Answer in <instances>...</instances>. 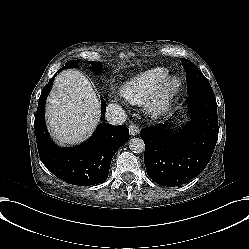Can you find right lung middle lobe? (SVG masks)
Masks as SVG:
<instances>
[{
    "instance_id": "right-lung-middle-lobe-1",
    "label": "right lung middle lobe",
    "mask_w": 249,
    "mask_h": 249,
    "mask_svg": "<svg viewBox=\"0 0 249 249\" xmlns=\"http://www.w3.org/2000/svg\"><path fill=\"white\" fill-rule=\"evenodd\" d=\"M77 62L78 61H68L66 64H65V67L61 68L60 70H63V69H67V68H71V67H76L77 66ZM90 63L92 64V70L93 72H96V73H100L101 71V68H102V64L100 62H94V61H90Z\"/></svg>"
}]
</instances>
